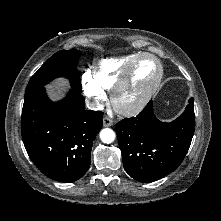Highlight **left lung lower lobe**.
Listing matches in <instances>:
<instances>
[{
  "mask_svg": "<svg viewBox=\"0 0 221 221\" xmlns=\"http://www.w3.org/2000/svg\"><path fill=\"white\" fill-rule=\"evenodd\" d=\"M193 98L171 123L159 121L152 101L136 116L116 124L126 172L142 183L156 181L181 164L190 147L195 126Z\"/></svg>",
  "mask_w": 221,
  "mask_h": 221,
  "instance_id": "left-lung-lower-lobe-1",
  "label": "left lung lower lobe"
}]
</instances>
